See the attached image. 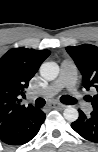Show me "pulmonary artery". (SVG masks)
Segmentation results:
<instances>
[{
	"label": "pulmonary artery",
	"instance_id": "1",
	"mask_svg": "<svg viewBox=\"0 0 98 152\" xmlns=\"http://www.w3.org/2000/svg\"><path fill=\"white\" fill-rule=\"evenodd\" d=\"M76 83L74 69L71 64L65 61L61 64L59 77L53 83L41 90L40 95L53 96L63 88H66L75 102H78L82 106H87L88 103L82 98Z\"/></svg>",
	"mask_w": 98,
	"mask_h": 152
}]
</instances>
